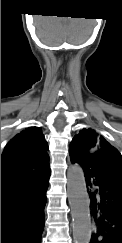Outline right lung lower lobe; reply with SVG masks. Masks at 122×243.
<instances>
[{
    "mask_svg": "<svg viewBox=\"0 0 122 243\" xmlns=\"http://www.w3.org/2000/svg\"><path fill=\"white\" fill-rule=\"evenodd\" d=\"M50 170L1 189V243H41Z\"/></svg>",
    "mask_w": 122,
    "mask_h": 243,
    "instance_id": "obj_1",
    "label": "right lung lower lobe"
}]
</instances>
